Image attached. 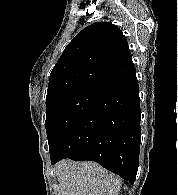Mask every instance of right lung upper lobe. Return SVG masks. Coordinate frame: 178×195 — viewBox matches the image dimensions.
I'll list each match as a JSON object with an SVG mask.
<instances>
[{
	"mask_svg": "<svg viewBox=\"0 0 178 195\" xmlns=\"http://www.w3.org/2000/svg\"><path fill=\"white\" fill-rule=\"evenodd\" d=\"M135 74L123 33L112 23L96 22L64 49L50 74L46 100L72 91L99 92Z\"/></svg>",
	"mask_w": 178,
	"mask_h": 195,
	"instance_id": "1",
	"label": "right lung upper lobe"
}]
</instances>
